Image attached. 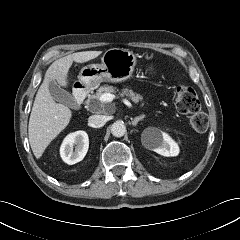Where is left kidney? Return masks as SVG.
I'll use <instances>...</instances> for the list:
<instances>
[{
    "instance_id": "1",
    "label": "left kidney",
    "mask_w": 240,
    "mask_h": 240,
    "mask_svg": "<svg viewBox=\"0 0 240 240\" xmlns=\"http://www.w3.org/2000/svg\"><path fill=\"white\" fill-rule=\"evenodd\" d=\"M149 136L153 137V139L149 140ZM142 144L149 150H153L166 157L177 156L179 154L178 145L167 133L157 128L149 127L144 130L142 134Z\"/></svg>"
}]
</instances>
